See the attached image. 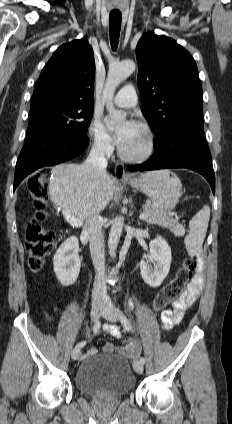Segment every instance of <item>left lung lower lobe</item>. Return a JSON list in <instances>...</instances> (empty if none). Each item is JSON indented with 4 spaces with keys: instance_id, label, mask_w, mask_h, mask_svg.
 <instances>
[{
    "instance_id": "0a47b994",
    "label": "left lung lower lobe",
    "mask_w": 232,
    "mask_h": 424,
    "mask_svg": "<svg viewBox=\"0 0 232 424\" xmlns=\"http://www.w3.org/2000/svg\"><path fill=\"white\" fill-rule=\"evenodd\" d=\"M147 162L135 165L131 171H148L164 168H188L202 174L215 193V175L212 158L203 130L202 120L176 126L159 144Z\"/></svg>"
}]
</instances>
